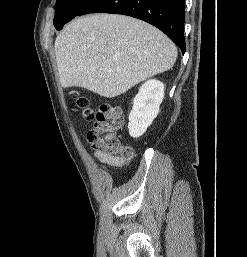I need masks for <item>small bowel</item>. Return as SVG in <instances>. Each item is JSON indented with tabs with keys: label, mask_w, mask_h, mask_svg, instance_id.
Returning a JSON list of instances; mask_svg holds the SVG:
<instances>
[{
	"label": "small bowel",
	"mask_w": 247,
	"mask_h": 257,
	"mask_svg": "<svg viewBox=\"0 0 247 257\" xmlns=\"http://www.w3.org/2000/svg\"><path fill=\"white\" fill-rule=\"evenodd\" d=\"M131 150H132V148H131ZM93 156L103 165H107V166L115 167V168H121L128 161H130L132 159L133 150H132V156L130 158H124V157H121V156L109 155L102 150L94 151Z\"/></svg>",
	"instance_id": "c3829d8e"
}]
</instances>
